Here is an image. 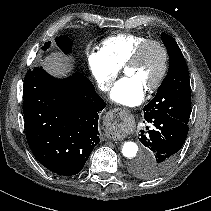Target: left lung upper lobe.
<instances>
[{"mask_svg":"<svg viewBox=\"0 0 211 211\" xmlns=\"http://www.w3.org/2000/svg\"><path fill=\"white\" fill-rule=\"evenodd\" d=\"M161 38L169 55L168 73L156 96L143 108L144 116L146 119L167 115L188 124L191 91L187 64L174 38L163 32ZM132 172L139 176L136 169Z\"/></svg>","mask_w":211,"mask_h":211,"instance_id":"1","label":"left lung upper lobe"}]
</instances>
